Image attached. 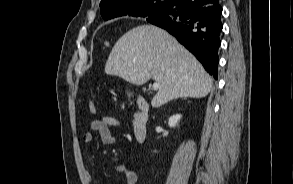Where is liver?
<instances>
[{"label":"liver","instance_id":"6515ba94","mask_svg":"<svg viewBox=\"0 0 293 184\" xmlns=\"http://www.w3.org/2000/svg\"><path fill=\"white\" fill-rule=\"evenodd\" d=\"M105 73L135 85L153 78L160 85L151 101L153 107L180 97H205L213 85L199 61L154 25L134 27L120 37L108 57Z\"/></svg>","mask_w":293,"mask_h":184}]
</instances>
